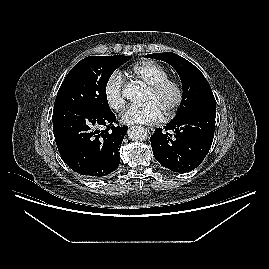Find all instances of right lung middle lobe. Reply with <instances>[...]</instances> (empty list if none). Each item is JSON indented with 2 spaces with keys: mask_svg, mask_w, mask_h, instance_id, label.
<instances>
[{
  "mask_svg": "<svg viewBox=\"0 0 269 269\" xmlns=\"http://www.w3.org/2000/svg\"><path fill=\"white\" fill-rule=\"evenodd\" d=\"M132 56H89L78 62L65 77L54 108L83 106L110 111L106 85L112 73Z\"/></svg>",
  "mask_w": 269,
  "mask_h": 269,
  "instance_id": "right-lung-middle-lobe-1",
  "label": "right lung middle lobe"
}]
</instances>
